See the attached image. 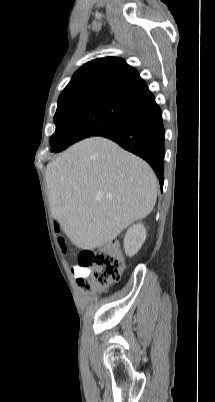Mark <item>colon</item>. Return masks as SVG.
I'll return each mask as SVG.
<instances>
[{
	"label": "colon",
	"instance_id": "colon-1",
	"mask_svg": "<svg viewBox=\"0 0 215 402\" xmlns=\"http://www.w3.org/2000/svg\"><path fill=\"white\" fill-rule=\"evenodd\" d=\"M64 248L63 240H60ZM78 265L88 268L90 273L85 278L77 279V284L86 292L105 288L120 280L123 261L113 245L102 250L84 251L79 255Z\"/></svg>",
	"mask_w": 215,
	"mask_h": 402
}]
</instances>
